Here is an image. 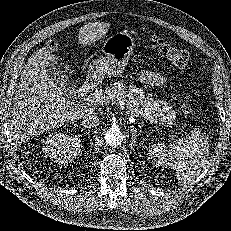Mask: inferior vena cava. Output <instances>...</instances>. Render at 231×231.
Here are the masks:
<instances>
[{
  "mask_svg": "<svg viewBox=\"0 0 231 231\" xmlns=\"http://www.w3.org/2000/svg\"><path fill=\"white\" fill-rule=\"evenodd\" d=\"M81 124L86 128L96 127L100 124V119L95 114L87 113L82 117Z\"/></svg>",
  "mask_w": 231,
  "mask_h": 231,
  "instance_id": "1",
  "label": "inferior vena cava"
}]
</instances>
